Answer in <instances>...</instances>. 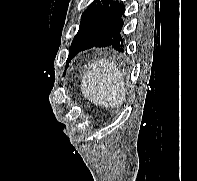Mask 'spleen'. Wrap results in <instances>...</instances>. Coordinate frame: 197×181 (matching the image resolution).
Wrapping results in <instances>:
<instances>
[{
	"label": "spleen",
	"mask_w": 197,
	"mask_h": 181,
	"mask_svg": "<svg viewBox=\"0 0 197 181\" xmlns=\"http://www.w3.org/2000/svg\"><path fill=\"white\" fill-rule=\"evenodd\" d=\"M82 94L95 105L119 108L126 98L123 75L108 59L91 63L81 82Z\"/></svg>",
	"instance_id": "spleen-1"
}]
</instances>
